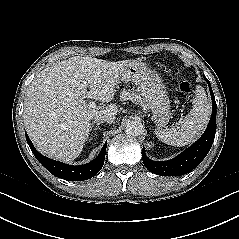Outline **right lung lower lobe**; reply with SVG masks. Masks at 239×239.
<instances>
[{
  "mask_svg": "<svg viewBox=\"0 0 239 239\" xmlns=\"http://www.w3.org/2000/svg\"><path fill=\"white\" fill-rule=\"evenodd\" d=\"M27 143L37 160L54 176L68 181H82L95 176L102 168L105 160L107 143L102 147L99 155L93 161L80 165L73 166L49 159L40 154L33 146L31 140L26 133Z\"/></svg>",
  "mask_w": 239,
  "mask_h": 239,
  "instance_id": "right-lung-lower-lobe-1",
  "label": "right lung lower lobe"
}]
</instances>
